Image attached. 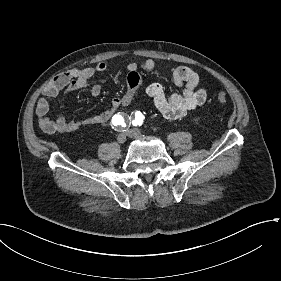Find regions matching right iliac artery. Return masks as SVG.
<instances>
[{"label": "right iliac artery", "instance_id": "right-iliac-artery-1", "mask_svg": "<svg viewBox=\"0 0 281 281\" xmlns=\"http://www.w3.org/2000/svg\"><path fill=\"white\" fill-rule=\"evenodd\" d=\"M111 124L114 130L124 132L130 126V118L129 116L119 112L113 116Z\"/></svg>", "mask_w": 281, "mask_h": 281}]
</instances>
